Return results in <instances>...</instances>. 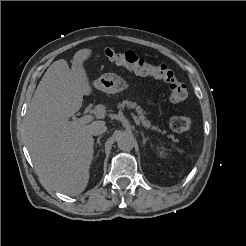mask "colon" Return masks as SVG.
<instances>
[{
  "label": "colon",
  "mask_w": 246,
  "mask_h": 246,
  "mask_svg": "<svg viewBox=\"0 0 246 246\" xmlns=\"http://www.w3.org/2000/svg\"><path fill=\"white\" fill-rule=\"evenodd\" d=\"M105 57L117 66H121L136 74L151 76L169 85V99L172 103H179L187 98V87L178 81L174 72L165 65H154L135 52L117 51L112 47L104 50ZM170 128L175 132H186L192 127V120L187 116L174 115L169 122Z\"/></svg>",
  "instance_id": "5ec220e1"
}]
</instances>
